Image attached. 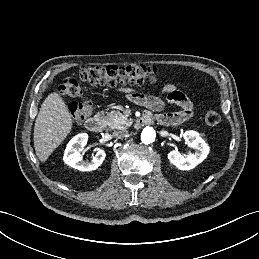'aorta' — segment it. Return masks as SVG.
Wrapping results in <instances>:
<instances>
[{"instance_id": "aorta-1", "label": "aorta", "mask_w": 259, "mask_h": 259, "mask_svg": "<svg viewBox=\"0 0 259 259\" xmlns=\"http://www.w3.org/2000/svg\"><path fill=\"white\" fill-rule=\"evenodd\" d=\"M156 133L152 127H145L141 133V141L144 144H150L155 141Z\"/></svg>"}]
</instances>
